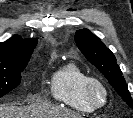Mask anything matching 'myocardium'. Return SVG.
<instances>
[{
  "label": "myocardium",
  "mask_w": 133,
  "mask_h": 118,
  "mask_svg": "<svg viewBox=\"0 0 133 118\" xmlns=\"http://www.w3.org/2000/svg\"><path fill=\"white\" fill-rule=\"evenodd\" d=\"M100 92L101 97L97 98L96 93ZM86 100L94 109L103 108L109 100V90L107 86L96 77H88L84 84Z\"/></svg>",
  "instance_id": "obj_1"
}]
</instances>
